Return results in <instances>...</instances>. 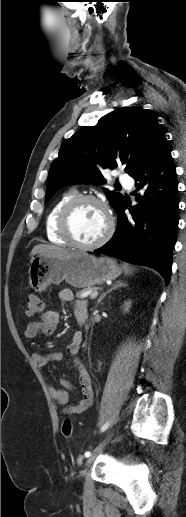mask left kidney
Wrapping results in <instances>:
<instances>
[{"mask_svg": "<svg viewBox=\"0 0 186 517\" xmlns=\"http://www.w3.org/2000/svg\"><path fill=\"white\" fill-rule=\"evenodd\" d=\"M130 307H131V301L125 302L123 305L124 312H128Z\"/></svg>", "mask_w": 186, "mask_h": 517, "instance_id": "5707ae66", "label": "left kidney"}]
</instances>
